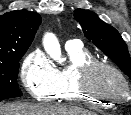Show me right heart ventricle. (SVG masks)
I'll list each match as a JSON object with an SVG mask.
<instances>
[{"label":"right heart ventricle","instance_id":"e07e8e85","mask_svg":"<svg viewBox=\"0 0 131 115\" xmlns=\"http://www.w3.org/2000/svg\"><path fill=\"white\" fill-rule=\"evenodd\" d=\"M65 49L69 65L62 70H57L59 87L53 99L93 107L108 105L107 102L85 96L76 88L77 72L79 68L86 63L96 60L95 56L88 49L81 46L65 47Z\"/></svg>","mask_w":131,"mask_h":115}]
</instances>
